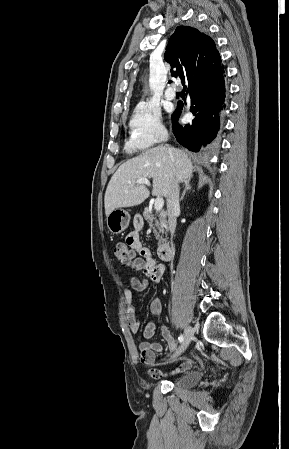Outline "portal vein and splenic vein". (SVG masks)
Listing matches in <instances>:
<instances>
[{"label":"portal vein and splenic vein","mask_w":289,"mask_h":449,"mask_svg":"<svg viewBox=\"0 0 289 449\" xmlns=\"http://www.w3.org/2000/svg\"><path fill=\"white\" fill-rule=\"evenodd\" d=\"M136 183L137 184H145L147 186H150V182L146 178H139V179L136 180ZM163 206H164L163 198L162 197H157L155 199V203H154L155 210L159 211V210H161L163 208Z\"/></svg>","instance_id":"obj_1"}]
</instances>
